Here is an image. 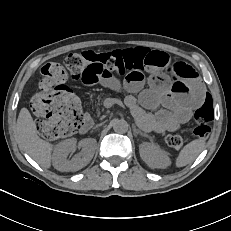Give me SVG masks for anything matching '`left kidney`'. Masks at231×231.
Returning <instances> with one entry per match:
<instances>
[{
    "mask_svg": "<svg viewBox=\"0 0 231 231\" xmlns=\"http://www.w3.org/2000/svg\"><path fill=\"white\" fill-rule=\"evenodd\" d=\"M140 157L150 168H167L171 161L168 153L155 143L143 142L139 146Z\"/></svg>",
    "mask_w": 231,
    "mask_h": 231,
    "instance_id": "5707ae66",
    "label": "left kidney"
}]
</instances>
